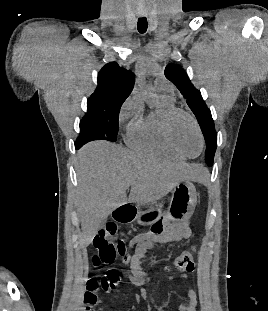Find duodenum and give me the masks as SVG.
I'll use <instances>...</instances> for the list:
<instances>
[{
    "instance_id": "410a0bca",
    "label": "duodenum",
    "mask_w": 268,
    "mask_h": 311,
    "mask_svg": "<svg viewBox=\"0 0 268 311\" xmlns=\"http://www.w3.org/2000/svg\"><path fill=\"white\" fill-rule=\"evenodd\" d=\"M135 213V208L131 204H123L114 211V218L120 223L127 222Z\"/></svg>"
}]
</instances>
